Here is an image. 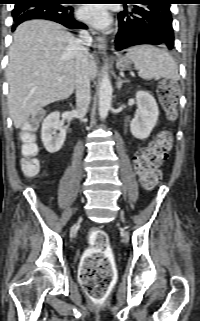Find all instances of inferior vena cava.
Listing matches in <instances>:
<instances>
[{
    "label": "inferior vena cava",
    "mask_w": 200,
    "mask_h": 321,
    "mask_svg": "<svg viewBox=\"0 0 200 321\" xmlns=\"http://www.w3.org/2000/svg\"><path fill=\"white\" fill-rule=\"evenodd\" d=\"M93 40L89 32L81 31L76 40V112L79 119H83L91 100L90 77L88 70L89 47Z\"/></svg>",
    "instance_id": "602c4592"
}]
</instances>
